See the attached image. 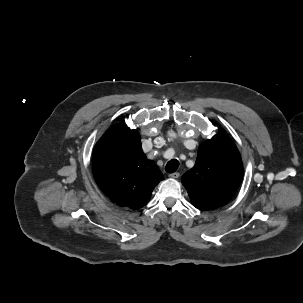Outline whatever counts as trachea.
<instances>
[{
    "label": "trachea",
    "instance_id": "3493384b",
    "mask_svg": "<svg viewBox=\"0 0 303 303\" xmlns=\"http://www.w3.org/2000/svg\"><path fill=\"white\" fill-rule=\"evenodd\" d=\"M179 167V161L177 159L170 160L166 166L165 170L167 173H174Z\"/></svg>",
    "mask_w": 303,
    "mask_h": 303
}]
</instances>
